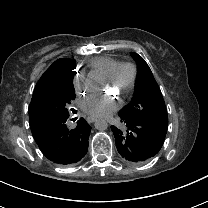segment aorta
<instances>
[{
    "label": "aorta",
    "mask_w": 208,
    "mask_h": 208,
    "mask_svg": "<svg viewBox=\"0 0 208 208\" xmlns=\"http://www.w3.org/2000/svg\"><path fill=\"white\" fill-rule=\"evenodd\" d=\"M94 126L98 130H106L108 127V123L104 119H97L94 123Z\"/></svg>",
    "instance_id": "762f6f07"
}]
</instances>
